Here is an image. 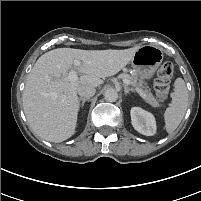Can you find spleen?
<instances>
[{
    "label": "spleen",
    "mask_w": 201,
    "mask_h": 201,
    "mask_svg": "<svg viewBox=\"0 0 201 201\" xmlns=\"http://www.w3.org/2000/svg\"><path fill=\"white\" fill-rule=\"evenodd\" d=\"M188 107V90L182 78H177L174 82L172 93V103L164 113L165 128L172 134L182 121Z\"/></svg>",
    "instance_id": "spleen-1"
}]
</instances>
